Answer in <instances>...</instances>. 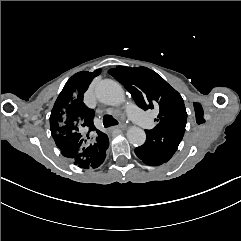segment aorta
<instances>
[{
  "label": "aorta",
  "mask_w": 241,
  "mask_h": 241,
  "mask_svg": "<svg viewBox=\"0 0 241 241\" xmlns=\"http://www.w3.org/2000/svg\"><path fill=\"white\" fill-rule=\"evenodd\" d=\"M95 94L100 102L107 105L116 106L125 100L122 86L110 79L100 81L95 87ZM127 138L134 146H141L145 143L146 134L141 128L132 126L127 130Z\"/></svg>",
  "instance_id": "aorta-1"
}]
</instances>
